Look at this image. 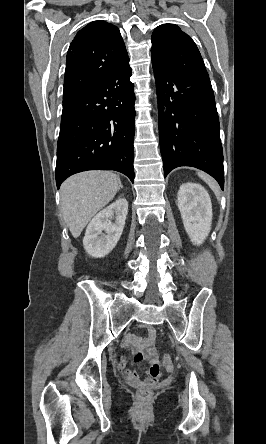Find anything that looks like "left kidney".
I'll return each instance as SVG.
<instances>
[{
    "label": "left kidney",
    "mask_w": 266,
    "mask_h": 444,
    "mask_svg": "<svg viewBox=\"0 0 266 444\" xmlns=\"http://www.w3.org/2000/svg\"><path fill=\"white\" fill-rule=\"evenodd\" d=\"M178 208L191 242L200 245L211 229L212 203L208 192L196 183H184L178 191Z\"/></svg>",
    "instance_id": "obj_1"
}]
</instances>
